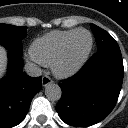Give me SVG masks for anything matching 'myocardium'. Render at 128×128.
I'll use <instances>...</instances> for the list:
<instances>
[{
	"mask_svg": "<svg viewBox=\"0 0 128 128\" xmlns=\"http://www.w3.org/2000/svg\"><path fill=\"white\" fill-rule=\"evenodd\" d=\"M80 32H85L88 34V36L90 38L89 47H88L87 51L85 52V54L76 63H74L70 66H66L67 56H68V51H69L70 45H71L74 37ZM93 45H94V39H93L91 32L86 29H82V28L77 29L66 41V43L64 44L57 59L53 63V65H52L53 74L57 78H60V79H67V78H70L73 75H75L77 72H79L82 69V67L87 62V60L92 52Z\"/></svg>",
	"mask_w": 128,
	"mask_h": 128,
	"instance_id": "1",
	"label": "myocardium"
}]
</instances>
